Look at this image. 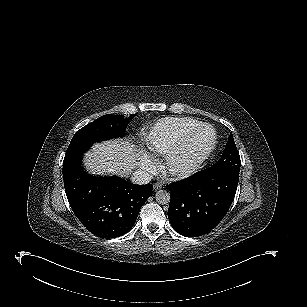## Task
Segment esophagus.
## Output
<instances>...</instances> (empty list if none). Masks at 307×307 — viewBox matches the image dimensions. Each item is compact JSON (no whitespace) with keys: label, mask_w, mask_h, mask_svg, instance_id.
<instances>
[{"label":"esophagus","mask_w":307,"mask_h":307,"mask_svg":"<svg viewBox=\"0 0 307 307\" xmlns=\"http://www.w3.org/2000/svg\"><path fill=\"white\" fill-rule=\"evenodd\" d=\"M161 187H162V185H161L160 183H155V184L153 185V190H154V191H157V190H159Z\"/></svg>","instance_id":"obj_1"}]
</instances>
